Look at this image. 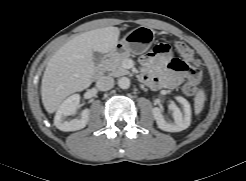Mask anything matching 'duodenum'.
Here are the masks:
<instances>
[{"instance_id":"1","label":"duodenum","mask_w":246,"mask_h":181,"mask_svg":"<svg viewBox=\"0 0 246 181\" xmlns=\"http://www.w3.org/2000/svg\"><path fill=\"white\" fill-rule=\"evenodd\" d=\"M116 51L120 50V47H116L115 49ZM115 51H110L107 54H105L104 58H103V64H106L108 62V60L113 56ZM103 74V65L101 67L98 68V70L95 72L94 74V79H100L101 76Z\"/></svg>"}]
</instances>
